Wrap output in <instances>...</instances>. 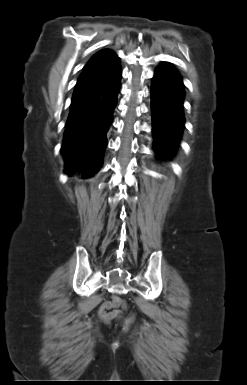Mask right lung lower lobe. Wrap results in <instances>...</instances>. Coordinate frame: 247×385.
<instances>
[{
    "label": "right lung lower lobe",
    "instance_id": "obj_1",
    "mask_svg": "<svg viewBox=\"0 0 247 385\" xmlns=\"http://www.w3.org/2000/svg\"><path fill=\"white\" fill-rule=\"evenodd\" d=\"M121 73L118 61L78 79L61 148L66 172L75 169L88 175L98 172L117 105Z\"/></svg>",
    "mask_w": 247,
    "mask_h": 385
}]
</instances>
